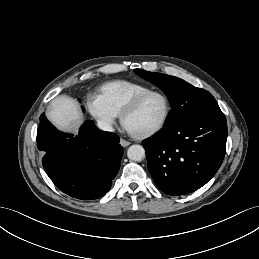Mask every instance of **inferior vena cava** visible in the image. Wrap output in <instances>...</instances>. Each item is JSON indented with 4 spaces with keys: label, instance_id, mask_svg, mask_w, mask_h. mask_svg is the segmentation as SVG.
<instances>
[{
    "label": "inferior vena cava",
    "instance_id": "inferior-vena-cava-1",
    "mask_svg": "<svg viewBox=\"0 0 259 259\" xmlns=\"http://www.w3.org/2000/svg\"><path fill=\"white\" fill-rule=\"evenodd\" d=\"M97 125L103 131L112 132L114 130L112 125L109 122L105 121V120H98L97 121Z\"/></svg>",
    "mask_w": 259,
    "mask_h": 259
}]
</instances>
